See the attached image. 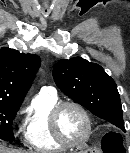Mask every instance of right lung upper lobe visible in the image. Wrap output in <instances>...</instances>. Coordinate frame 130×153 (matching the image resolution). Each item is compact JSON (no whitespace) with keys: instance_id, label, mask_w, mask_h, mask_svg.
<instances>
[{"instance_id":"1","label":"right lung upper lobe","mask_w":130,"mask_h":153,"mask_svg":"<svg viewBox=\"0 0 130 153\" xmlns=\"http://www.w3.org/2000/svg\"><path fill=\"white\" fill-rule=\"evenodd\" d=\"M41 63L35 54H24L7 47L0 49V101L22 103L32 77Z\"/></svg>"}]
</instances>
